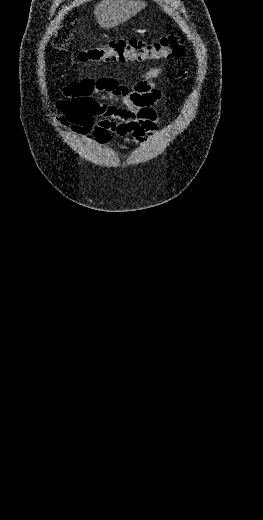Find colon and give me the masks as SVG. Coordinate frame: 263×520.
Instances as JSON below:
<instances>
[{"label":"colon","instance_id":"colon-1","mask_svg":"<svg viewBox=\"0 0 263 520\" xmlns=\"http://www.w3.org/2000/svg\"><path fill=\"white\" fill-rule=\"evenodd\" d=\"M184 45L175 36L164 37L155 42L140 39H117L103 45L81 50L79 62H132L171 59L184 53Z\"/></svg>","mask_w":263,"mask_h":520}]
</instances>
